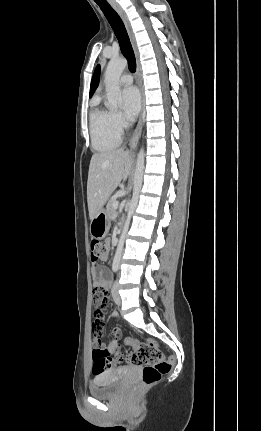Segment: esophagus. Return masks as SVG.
Wrapping results in <instances>:
<instances>
[{"label": "esophagus", "mask_w": 261, "mask_h": 431, "mask_svg": "<svg viewBox=\"0 0 261 431\" xmlns=\"http://www.w3.org/2000/svg\"><path fill=\"white\" fill-rule=\"evenodd\" d=\"M112 6L116 10V12L119 14V16L121 17V19L123 20V22H124V24L126 26V29H127L128 33H129L131 39H132V34H131V31H130V27H129L128 20H127L125 12L116 3H112ZM133 47H134V51H135V55H136V73H137L138 85H139V88H140L141 113H140V116H139L138 124H137V126L135 128V131H134V134H133V138H132V140L130 142V150L131 151H134L136 149L137 141L139 140L141 132H142L143 119H144V113H145V109H144V107H145L144 91H143V87H142V83H141V79H140L141 68H140V63H139V59H138V54H137V51H136V48H135L134 44H133Z\"/></svg>", "instance_id": "34e87169"}]
</instances>
